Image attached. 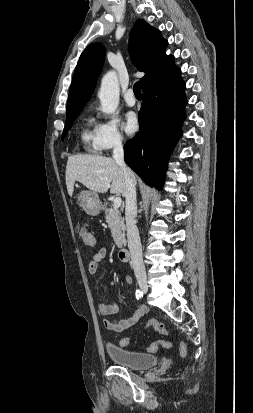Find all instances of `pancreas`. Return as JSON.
Segmentation results:
<instances>
[{
	"instance_id": "1",
	"label": "pancreas",
	"mask_w": 253,
	"mask_h": 413,
	"mask_svg": "<svg viewBox=\"0 0 253 413\" xmlns=\"http://www.w3.org/2000/svg\"><path fill=\"white\" fill-rule=\"evenodd\" d=\"M106 222L109 225L115 244L121 248L125 243V226L120 211L115 208H109L105 213Z\"/></svg>"
}]
</instances>
